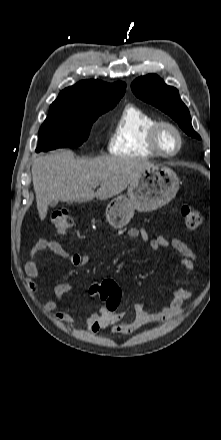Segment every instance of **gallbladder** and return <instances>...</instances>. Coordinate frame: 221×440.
<instances>
[{"instance_id":"1","label":"gallbladder","mask_w":221,"mask_h":440,"mask_svg":"<svg viewBox=\"0 0 221 440\" xmlns=\"http://www.w3.org/2000/svg\"><path fill=\"white\" fill-rule=\"evenodd\" d=\"M58 204V201L57 200H52L51 202H50V207H55L56 205Z\"/></svg>"}]
</instances>
